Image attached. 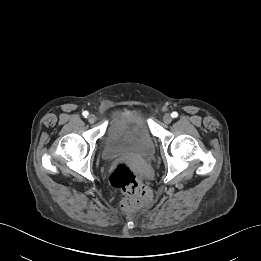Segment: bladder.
Instances as JSON below:
<instances>
[{
    "instance_id": "31cf9c89",
    "label": "bladder",
    "mask_w": 261,
    "mask_h": 261,
    "mask_svg": "<svg viewBox=\"0 0 261 261\" xmlns=\"http://www.w3.org/2000/svg\"><path fill=\"white\" fill-rule=\"evenodd\" d=\"M101 154L110 160L121 156L148 158L155 150L151 133L142 108L128 106L109 122L101 140Z\"/></svg>"
}]
</instances>
